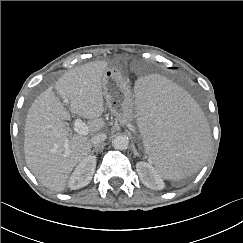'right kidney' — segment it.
I'll return each mask as SVG.
<instances>
[{
	"label": "right kidney",
	"instance_id": "1",
	"mask_svg": "<svg viewBox=\"0 0 243 243\" xmlns=\"http://www.w3.org/2000/svg\"><path fill=\"white\" fill-rule=\"evenodd\" d=\"M96 168V157L89 155L82 160L69 178L68 187L71 190L80 189L90 183Z\"/></svg>",
	"mask_w": 243,
	"mask_h": 243
}]
</instances>
